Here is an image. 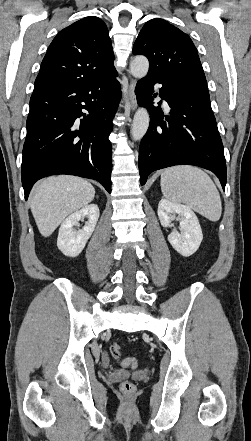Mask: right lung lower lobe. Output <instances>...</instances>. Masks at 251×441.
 I'll list each match as a JSON object with an SVG mask.
<instances>
[{
    "label": "right lung lower lobe",
    "instance_id": "1",
    "mask_svg": "<svg viewBox=\"0 0 251 441\" xmlns=\"http://www.w3.org/2000/svg\"><path fill=\"white\" fill-rule=\"evenodd\" d=\"M116 76L114 70L85 82L34 89L21 170L26 200L37 180L56 174L94 179L111 192L108 136L121 98Z\"/></svg>",
    "mask_w": 251,
    "mask_h": 441
}]
</instances>
